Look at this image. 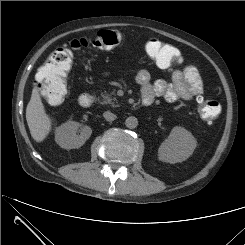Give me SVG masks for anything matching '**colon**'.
I'll use <instances>...</instances> for the list:
<instances>
[{
    "instance_id": "1",
    "label": "colon",
    "mask_w": 245,
    "mask_h": 245,
    "mask_svg": "<svg viewBox=\"0 0 245 245\" xmlns=\"http://www.w3.org/2000/svg\"><path fill=\"white\" fill-rule=\"evenodd\" d=\"M123 35L118 30H102L92 38H79L71 41L67 47L56 49L41 68L36 80L44 99L50 104L61 103L68 94L67 74L71 66L72 50L89 46L99 49H111L120 45ZM146 53L160 67H171L182 62L175 47L157 39H150L145 45ZM198 112L201 118L211 124L220 112V105L211 99H198Z\"/></svg>"
}]
</instances>
